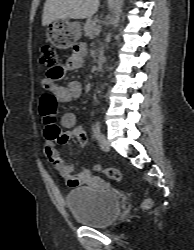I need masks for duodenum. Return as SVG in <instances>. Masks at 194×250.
Wrapping results in <instances>:
<instances>
[{
  "mask_svg": "<svg viewBox=\"0 0 194 250\" xmlns=\"http://www.w3.org/2000/svg\"><path fill=\"white\" fill-rule=\"evenodd\" d=\"M104 63H105L104 56L103 55H99L98 62H97L98 69H101L104 66Z\"/></svg>",
  "mask_w": 194,
  "mask_h": 250,
  "instance_id": "duodenum-1",
  "label": "duodenum"
}]
</instances>
